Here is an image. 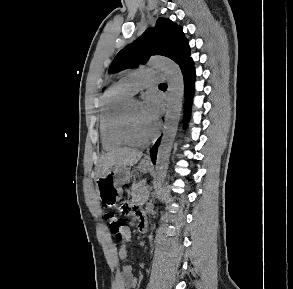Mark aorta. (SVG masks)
I'll return each instance as SVG.
<instances>
[{
  "mask_svg": "<svg viewBox=\"0 0 293 289\" xmlns=\"http://www.w3.org/2000/svg\"><path fill=\"white\" fill-rule=\"evenodd\" d=\"M149 65L162 69L168 82V108L165 118L163 137L157 152L155 187L159 189L164 182L169 165L170 153L177 133L180 119L184 82L182 72L177 64L165 58H152Z\"/></svg>",
  "mask_w": 293,
  "mask_h": 289,
  "instance_id": "1",
  "label": "aorta"
}]
</instances>
